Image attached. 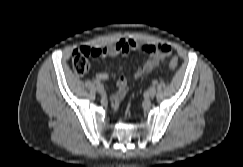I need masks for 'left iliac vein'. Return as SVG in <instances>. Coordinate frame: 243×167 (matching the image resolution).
Segmentation results:
<instances>
[{"label":"left iliac vein","instance_id":"4c4485c4","mask_svg":"<svg viewBox=\"0 0 243 167\" xmlns=\"http://www.w3.org/2000/svg\"><path fill=\"white\" fill-rule=\"evenodd\" d=\"M147 95L150 98H153L156 95V88L155 87H150L147 91Z\"/></svg>","mask_w":243,"mask_h":167}]
</instances>
